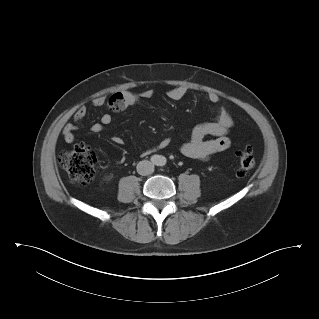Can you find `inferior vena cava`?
Listing matches in <instances>:
<instances>
[{"label": "inferior vena cava", "mask_w": 319, "mask_h": 319, "mask_svg": "<svg viewBox=\"0 0 319 319\" xmlns=\"http://www.w3.org/2000/svg\"><path fill=\"white\" fill-rule=\"evenodd\" d=\"M137 172L146 176L154 172V165L148 160H142L137 164Z\"/></svg>", "instance_id": "obj_1"}]
</instances>
